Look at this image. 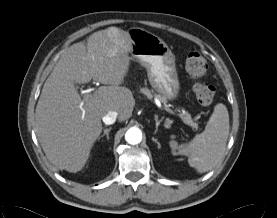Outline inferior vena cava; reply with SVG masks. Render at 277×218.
Segmentation results:
<instances>
[{"label":"inferior vena cava","mask_w":277,"mask_h":218,"mask_svg":"<svg viewBox=\"0 0 277 218\" xmlns=\"http://www.w3.org/2000/svg\"><path fill=\"white\" fill-rule=\"evenodd\" d=\"M118 113L116 111H109L103 118V122L106 125H111L116 121Z\"/></svg>","instance_id":"inferior-vena-cava-1"}]
</instances>
